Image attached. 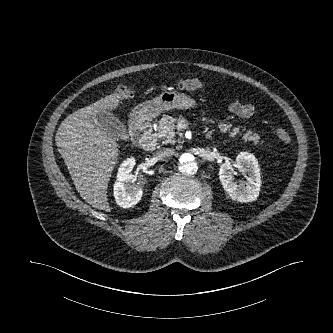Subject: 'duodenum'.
I'll return each instance as SVG.
<instances>
[{
	"label": "duodenum",
	"mask_w": 333,
	"mask_h": 333,
	"mask_svg": "<svg viewBox=\"0 0 333 333\" xmlns=\"http://www.w3.org/2000/svg\"><path fill=\"white\" fill-rule=\"evenodd\" d=\"M131 136L140 148L152 151L157 146V139L147 114H140L134 118L131 125Z\"/></svg>",
	"instance_id": "410a0bca"
}]
</instances>
